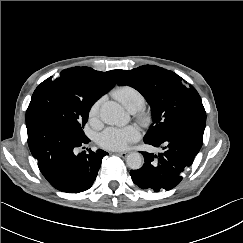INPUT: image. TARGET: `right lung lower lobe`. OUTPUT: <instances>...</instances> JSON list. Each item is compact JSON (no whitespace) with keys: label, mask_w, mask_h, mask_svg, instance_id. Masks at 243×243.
Here are the masks:
<instances>
[{"label":"right lung lower lobe","mask_w":243,"mask_h":243,"mask_svg":"<svg viewBox=\"0 0 243 243\" xmlns=\"http://www.w3.org/2000/svg\"><path fill=\"white\" fill-rule=\"evenodd\" d=\"M28 145L47 181L57 190L79 193L89 189L107 152L87 149L76 154L78 147L90 140L80 137L61 121L47 115L26 117Z\"/></svg>","instance_id":"obj_1"}]
</instances>
